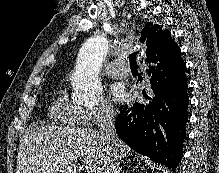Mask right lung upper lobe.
<instances>
[{"label":"right lung upper lobe","instance_id":"obj_1","mask_svg":"<svg viewBox=\"0 0 219 173\" xmlns=\"http://www.w3.org/2000/svg\"><path fill=\"white\" fill-rule=\"evenodd\" d=\"M141 40L146 42L147 59H153L156 55L173 57L180 55L181 51L168 30L160 25L147 23L141 32Z\"/></svg>","mask_w":219,"mask_h":173}]
</instances>
